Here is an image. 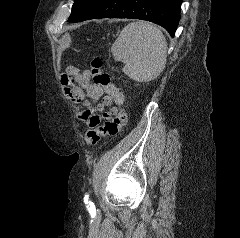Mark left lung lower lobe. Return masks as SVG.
Masks as SVG:
<instances>
[{
	"label": "left lung lower lobe",
	"mask_w": 240,
	"mask_h": 238,
	"mask_svg": "<svg viewBox=\"0 0 240 238\" xmlns=\"http://www.w3.org/2000/svg\"><path fill=\"white\" fill-rule=\"evenodd\" d=\"M182 0H91L71 22L101 18L142 19L164 27L174 37Z\"/></svg>",
	"instance_id": "1"
}]
</instances>
